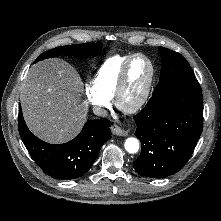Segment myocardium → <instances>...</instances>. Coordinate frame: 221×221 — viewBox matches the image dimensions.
<instances>
[{"label":"myocardium","instance_id":"myocardium-1","mask_svg":"<svg viewBox=\"0 0 221 221\" xmlns=\"http://www.w3.org/2000/svg\"><path fill=\"white\" fill-rule=\"evenodd\" d=\"M136 58H143L147 61V63L150 66V76L147 82V85L142 93V95L140 96V98L132 105L130 106H124L122 103V98L127 86V81H128V73H129V69L130 66L132 64V62L136 59ZM155 75H156V68L155 65L153 63V61L145 54L142 53H135L133 54L124 64L120 76H119V80H118V84H117V88L114 94V102L115 105L117 106L118 109H120L122 112L127 113V114H134L138 111H140L143 106L146 104L149 95L151 93L153 84H154V80H155Z\"/></svg>","mask_w":221,"mask_h":221}]
</instances>
